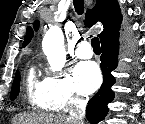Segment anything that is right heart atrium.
<instances>
[{"label": "right heart atrium", "instance_id": "obj_1", "mask_svg": "<svg viewBox=\"0 0 145 124\" xmlns=\"http://www.w3.org/2000/svg\"><path fill=\"white\" fill-rule=\"evenodd\" d=\"M49 100L61 111H69L86 102L85 93L79 88L76 80L63 73L49 76L43 81Z\"/></svg>", "mask_w": 145, "mask_h": 124}]
</instances>
